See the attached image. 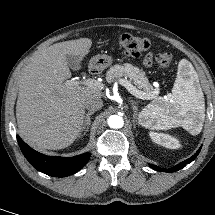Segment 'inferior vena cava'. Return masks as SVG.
Segmentation results:
<instances>
[{
    "label": "inferior vena cava",
    "mask_w": 215,
    "mask_h": 215,
    "mask_svg": "<svg viewBox=\"0 0 215 215\" xmlns=\"http://www.w3.org/2000/svg\"><path fill=\"white\" fill-rule=\"evenodd\" d=\"M84 106L88 111H97L103 107V101L97 96H90L85 99Z\"/></svg>",
    "instance_id": "inferior-vena-cava-1"
}]
</instances>
